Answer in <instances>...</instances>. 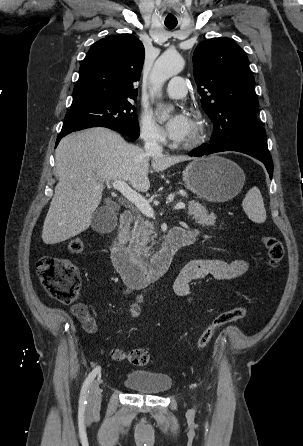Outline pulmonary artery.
Returning a JSON list of instances; mask_svg holds the SVG:
<instances>
[{
    "instance_id": "1",
    "label": "pulmonary artery",
    "mask_w": 303,
    "mask_h": 446,
    "mask_svg": "<svg viewBox=\"0 0 303 446\" xmlns=\"http://www.w3.org/2000/svg\"><path fill=\"white\" fill-rule=\"evenodd\" d=\"M187 93V83L183 77L175 76L173 77L165 90L166 97L170 99H180L184 97Z\"/></svg>"
}]
</instances>
